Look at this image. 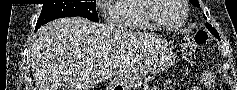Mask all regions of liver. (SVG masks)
<instances>
[{
  "instance_id": "obj_1",
  "label": "liver",
  "mask_w": 237,
  "mask_h": 90,
  "mask_svg": "<svg viewBox=\"0 0 237 90\" xmlns=\"http://www.w3.org/2000/svg\"><path fill=\"white\" fill-rule=\"evenodd\" d=\"M119 28L60 18L35 34L33 76L39 90H88L121 70Z\"/></svg>"
}]
</instances>
